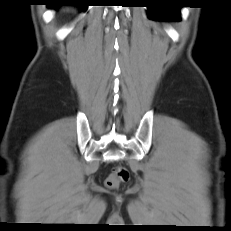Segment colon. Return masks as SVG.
I'll return each mask as SVG.
<instances>
[{
    "instance_id": "5ec220e1",
    "label": "colon",
    "mask_w": 231,
    "mask_h": 231,
    "mask_svg": "<svg viewBox=\"0 0 231 231\" xmlns=\"http://www.w3.org/2000/svg\"><path fill=\"white\" fill-rule=\"evenodd\" d=\"M128 178V172L122 167L115 168L106 179V185L109 188H116L121 182Z\"/></svg>"
}]
</instances>
